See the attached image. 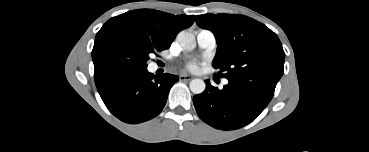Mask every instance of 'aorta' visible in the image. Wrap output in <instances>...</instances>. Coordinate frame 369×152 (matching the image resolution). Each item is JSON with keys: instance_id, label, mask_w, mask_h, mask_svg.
<instances>
[{"instance_id": "obj_1", "label": "aorta", "mask_w": 369, "mask_h": 152, "mask_svg": "<svg viewBox=\"0 0 369 152\" xmlns=\"http://www.w3.org/2000/svg\"><path fill=\"white\" fill-rule=\"evenodd\" d=\"M177 41L180 46L187 51L193 50L196 47L195 36L188 31H180L177 35ZM190 90L194 94H201L206 88V84L201 79H193L190 82Z\"/></svg>"}]
</instances>
